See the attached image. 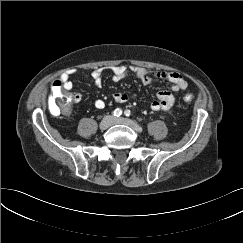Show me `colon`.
<instances>
[{"mask_svg": "<svg viewBox=\"0 0 243 243\" xmlns=\"http://www.w3.org/2000/svg\"><path fill=\"white\" fill-rule=\"evenodd\" d=\"M183 99L186 103H191L193 95L186 94ZM73 103V95L67 93L60 82H54L49 97V109L51 113L54 115L67 114L71 111Z\"/></svg>", "mask_w": 243, "mask_h": 243, "instance_id": "1", "label": "colon"}]
</instances>
